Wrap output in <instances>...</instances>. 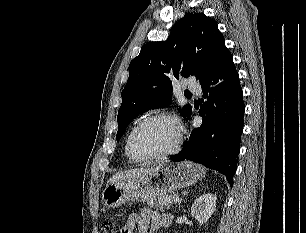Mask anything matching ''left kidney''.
I'll use <instances>...</instances> for the list:
<instances>
[{"label": "left kidney", "mask_w": 306, "mask_h": 233, "mask_svg": "<svg viewBox=\"0 0 306 233\" xmlns=\"http://www.w3.org/2000/svg\"><path fill=\"white\" fill-rule=\"evenodd\" d=\"M216 195L205 193L195 200L191 208V215L200 225L206 223L216 208Z\"/></svg>", "instance_id": "obj_1"}]
</instances>
